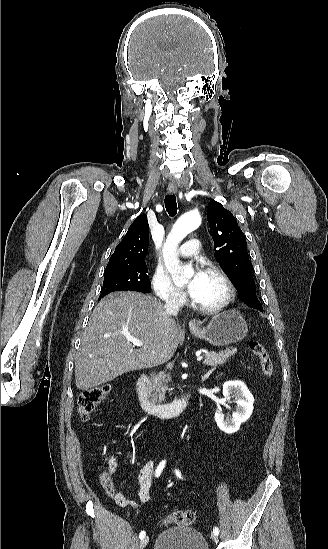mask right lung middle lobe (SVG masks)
Here are the masks:
<instances>
[{
    "mask_svg": "<svg viewBox=\"0 0 328 549\" xmlns=\"http://www.w3.org/2000/svg\"><path fill=\"white\" fill-rule=\"evenodd\" d=\"M147 273L145 261L105 271L99 299L108 293L120 290L148 292L151 289V282Z\"/></svg>",
    "mask_w": 328,
    "mask_h": 549,
    "instance_id": "dd1d6c3e",
    "label": "right lung middle lobe"
}]
</instances>
